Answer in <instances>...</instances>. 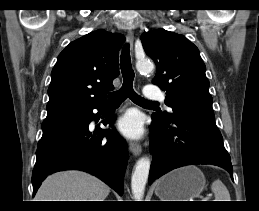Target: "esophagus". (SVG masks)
<instances>
[{
  "label": "esophagus",
  "mask_w": 259,
  "mask_h": 211,
  "mask_svg": "<svg viewBox=\"0 0 259 211\" xmlns=\"http://www.w3.org/2000/svg\"><path fill=\"white\" fill-rule=\"evenodd\" d=\"M127 40H128L129 47H130V53H131V55H133L134 34H133L132 30H128ZM129 149L135 156L140 155V153L142 151L141 145L137 142H130Z\"/></svg>",
  "instance_id": "34e87169"
}]
</instances>
